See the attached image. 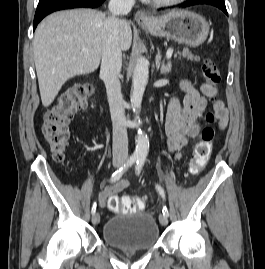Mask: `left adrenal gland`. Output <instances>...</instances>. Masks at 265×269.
<instances>
[{"label": "left adrenal gland", "instance_id": "a2214340", "mask_svg": "<svg viewBox=\"0 0 265 269\" xmlns=\"http://www.w3.org/2000/svg\"><path fill=\"white\" fill-rule=\"evenodd\" d=\"M161 59H162V56H161L160 51L158 50V54H157L156 59H155L157 69L160 68ZM170 70H171V63L170 62H167V63L163 62L161 65L160 73L163 75H166L170 72Z\"/></svg>", "mask_w": 265, "mask_h": 269}]
</instances>
